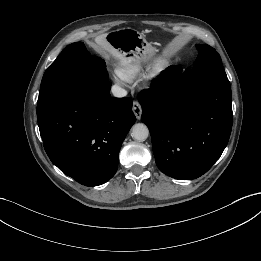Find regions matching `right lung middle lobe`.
Instances as JSON below:
<instances>
[{
  "label": "right lung middle lobe",
  "instance_id": "1",
  "mask_svg": "<svg viewBox=\"0 0 261 261\" xmlns=\"http://www.w3.org/2000/svg\"><path fill=\"white\" fill-rule=\"evenodd\" d=\"M100 81H108L104 60L91 56L82 42L70 44L49 66L42 78L37 111L73 86Z\"/></svg>",
  "mask_w": 261,
  "mask_h": 261
}]
</instances>
